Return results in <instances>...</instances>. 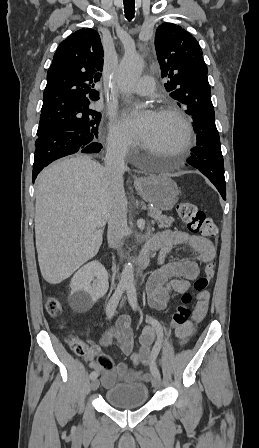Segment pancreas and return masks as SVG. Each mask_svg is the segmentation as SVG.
<instances>
[{"mask_svg":"<svg viewBox=\"0 0 259 448\" xmlns=\"http://www.w3.org/2000/svg\"><path fill=\"white\" fill-rule=\"evenodd\" d=\"M148 216L157 222L159 228H170L171 224L174 222V218H170V216H162L161 210H157V208H149Z\"/></svg>","mask_w":259,"mask_h":448,"instance_id":"1","label":"pancreas"}]
</instances>
